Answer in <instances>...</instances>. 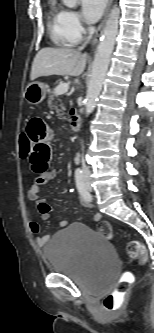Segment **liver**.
I'll use <instances>...</instances> for the list:
<instances>
[{"label": "liver", "instance_id": "1", "mask_svg": "<svg viewBox=\"0 0 154 333\" xmlns=\"http://www.w3.org/2000/svg\"><path fill=\"white\" fill-rule=\"evenodd\" d=\"M87 54H81L73 48H52L41 49L35 56L30 79L33 81L38 77L51 75L79 76L85 70Z\"/></svg>", "mask_w": 154, "mask_h": 333}]
</instances>
